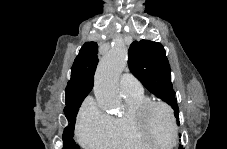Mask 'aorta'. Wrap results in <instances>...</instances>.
Wrapping results in <instances>:
<instances>
[{
    "mask_svg": "<svg viewBox=\"0 0 227 149\" xmlns=\"http://www.w3.org/2000/svg\"><path fill=\"white\" fill-rule=\"evenodd\" d=\"M127 60L126 47L122 43H116L98 65L94 95L99 107L106 112H116L121 106L118 82Z\"/></svg>",
    "mask_w": 227,
    "mask_h": 149,
    "instance_id": "762f6f07",
    "label": "aorta"
}]
</instances>
